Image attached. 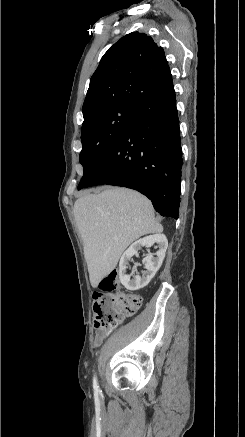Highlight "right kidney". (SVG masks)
Listing matches in <instances>:
<instances>
[{
	"label": "right kidney",
	"mask_w": 245,
	"mask_h": 437,
	"mask_svg": "<svg viewBox=\"0 0 245 437\" xmlns=\"http://www.w3.org/2000/svg\"><path fill=\"white\" fill-rule=\"evenodd\" d=\"M153 245H155L154 247L158 250L156 253L150 254L142 260V263L145 267V271L143 272L142 276L133 275V278L131 279V277L126 274V269L128 268L131 257L136 255L138 250H140L142 247L150 248ZM167 246L168 241L164 234L146 236L131 244L121 256L119 263V279L124 287L130 291H135L148 285L162 265ZM154 255L156 257H154Z\"/></svg>",
	"instance_id": "obj_1"
}]
</instances>
